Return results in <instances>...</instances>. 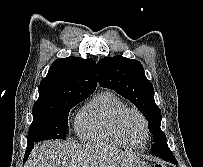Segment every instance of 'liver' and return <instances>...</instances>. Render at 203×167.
<instances>
[{"mask_svg": "<svg viewBox=\"0 0 203 167\" xmlns=\"http://www.w3.org/2000/svg\"><path fill=\"white\" fill-rule=\"evenodd\" d=\"M25 167H149L138 157L71 141L48 140L34 147Z\"/></svg>", "mask_w": 203, "mask_h": 167, "instance_id": "1", "label": "liver"}]
</instances>
